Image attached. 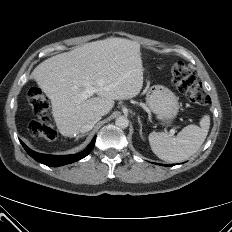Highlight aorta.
I'll use <instances>...</instances> for the list:
<instances>
[{
  "label": "aorta",
  "mask_w": 232,
  "mask_h": 232,
  "mask_svg": "<svg viewBox=\"0 0 232 232\" xmlns=\"http://www.w3.org/2000/svg\"><path fill=\"white\" fill-rule=\"evenodd\" d=\"M115 124L116 126L120 127V128H127L129 125V120L127 117L125 116H119L118 118H116L115 120Z\"/></svg>",
  "instance_id": "aorta-1"
}]
</instances>
